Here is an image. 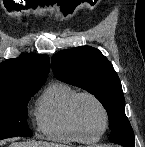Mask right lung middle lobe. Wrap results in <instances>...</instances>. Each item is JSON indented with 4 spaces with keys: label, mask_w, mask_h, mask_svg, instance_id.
I'll list each match as a JSON object with an SVG mask.
<instances>
[{
    "label": "right lung middle lobe",
    "mask_w": 145,
    "mask_h": 147,
    "mask_svg": "<svg viewBox=\"0 0 145 147\" xmlns=\"http://www.w3.org/2000/svg\"><path fill=\"white\" fill-rule=\"evenodd\" d=\"M41 86L0 92V140L16 136L31 137L27 125V103Z\"/></svg>",
    "instance_id": "dd1d6c3e"
}]
</instances>
